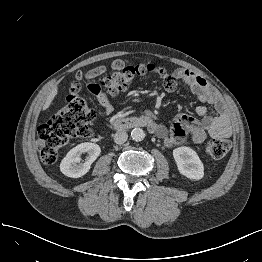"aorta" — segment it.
<instances>
[{"instance_id": "obj_1", "label": "aorta", "mask_w": 262, "mask_h": 262, "mask_svg": "<svg viewBox=\"0 0 262 262\" xmlns=\"http://www.w3.org/2000/svg\"><path fill=\"white\" fill-rule=\"evenodd\" d=\"M131 137L134 141H142L145 138V132L141 128H134L131 131Z\"/></svg>"}]
</instances>
